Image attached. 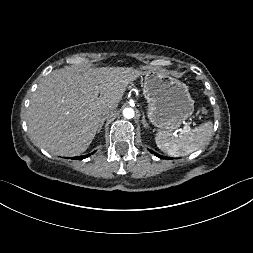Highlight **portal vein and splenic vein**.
I'll return each instance as SVG.
<instances>
[{
    "label": "portal vein and splenic vein",
    "mask_w": 253,
    "mask_h": 253,
    "mask_svg": "<svg viewBox=\"0 0 253 253\" xmlns=\"http://www.w3.org/2000/svg\"><path fill=\"white\" fill-rule=\"evenodd\" d=\"M179 131L182 132V133L187 132V131H190V126H189L188 124H186V125L184 126V128H183V129H179Z\"/></svg>",
    "instance_id": "18ae733b"
}]
</instances>
